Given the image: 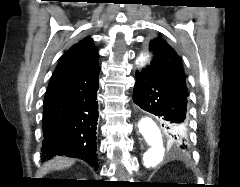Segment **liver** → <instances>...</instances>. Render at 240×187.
Listing matches in <instances>:
<instances>
[{
    "mask_svg": "<svg viewBox=\"0 0 240 187\" xmlns=\"http://www.w3.org/2000/svg\"><path fill=\"white\" fill-rule=\"evenodd\" d=\"M73 163V159L67 157H55L54 159L44 164L42 174H46L49 170H60L63 168H68Z\"/></svg>",
    "mask_w": 240,
    "mask_h": 187,
    "instance_id": "liver-1",
    "label": "liver"
}]
</instances>
